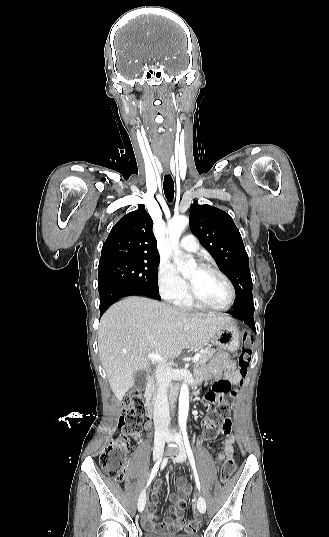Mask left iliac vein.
I'll use <instances>...</instances> for the list:
<instances>
[{
    "label": "left iliac vein",
    "instance_id": "left-iliac-vein-1",
    "mask_svg": "<svg viewBox=\"0 0 329 537\" xmlns=\"http://www.w3.org/2000/svg\"><path fill=\"white\" fill-rule=\"evenodd\" d=\"M173 439L175 440V442L177 444V448L179 450V453H178V456L176 457V460L178 462H183V461L186 460V451H185L183 439H182L180 434H175L173 436ZM197 508H198V511L201 514L205 513V511H206V501H205L204 497L199 496L198 501H197Z\"/></svg>",
    "mask_w": 329,
    "mask_h": 537
}]
</instances>
